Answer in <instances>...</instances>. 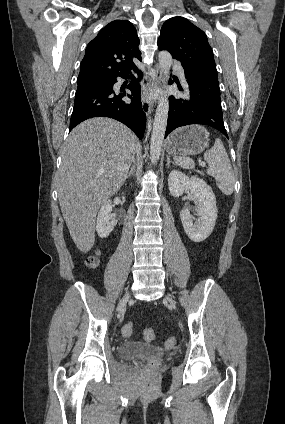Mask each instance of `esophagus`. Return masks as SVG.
<instances>
[{
    "label": "esophagus",
    "instance_id": "1",
    "mask_svg": "<svg viewBox=\"0 0 285 424\" xmlns=\"http://www.w3.org/2000/svg\"><path fill=\"white\" fill-rule=\"evenodd\" d=\"M161 70L158 65L155 66V77L153 79H149L146 84L142 88L141 96H142V108L144 113L149 116L152 112V96L154 91L160 84L161 81Z\"/></svg>",
    "mask_w": 285,
    "mask_h": 424
}]
</instances>
